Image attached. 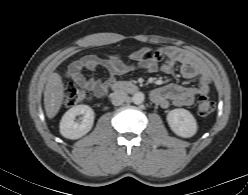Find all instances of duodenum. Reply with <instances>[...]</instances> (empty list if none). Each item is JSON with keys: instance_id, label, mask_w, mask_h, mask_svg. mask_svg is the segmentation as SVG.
<instances>
[{"instance_id": "410a0bca", "label": "duodenum", "mask_w": 248, "mask_h": 195, "mask_svg": "<svg viewBox=\"0 0 248 195\" xmlns=\"http://www.w3.org/2000/svg\"><path fill=\"white\" fill-rule=\"evenodd\" d=\"M113 90H126L128 92H136L137 87L129 82H116L112 85Z\"/></svg>"}]
</instances>
